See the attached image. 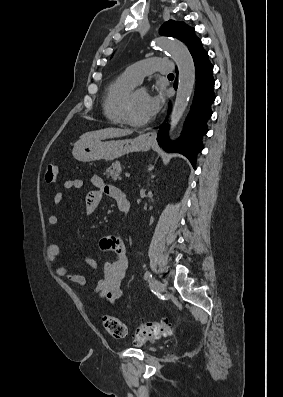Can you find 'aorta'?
<instances>
[{"label":"aorta","instance_id":"aorta-1","mask_svg":"<svg viewBox=\"0 0 283 397\" xmlns=\"http://www.w3.org/2000/svg\"><path fill=\"white\" fill-rule=\"evenodd\" d=\"M154 45L171 55L179 71L176 99L170 118L172 134L188 106L195 83V66L188 48L181 41L160 37L154 40Z\"/></svg>","mask_w":283,"mask_h":397}]
</instances>
